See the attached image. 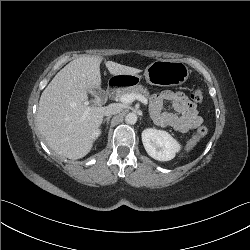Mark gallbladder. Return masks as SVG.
Returning <instances> with one entry per match:
<instances>
[{"label":"gallbladder","instance_id":"obj_1","mask_svg":"<svg viewBox=\"0 0 250 250\" xmlns=\"http://www.w3.org/2000/svg\"><path fill=\"white\" fill-rule=\"evenodd\" d=\"M94 92L98 94V93H101V90L95 89Z\"/></svg>","mask_w":250,"mask_h":250}]
</instances>
